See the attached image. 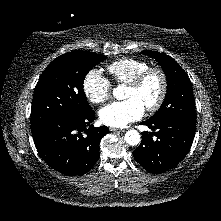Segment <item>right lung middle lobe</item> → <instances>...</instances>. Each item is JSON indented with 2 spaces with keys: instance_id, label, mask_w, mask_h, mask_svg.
<instances>
[{
  "instance_id": "right-lung-middle-lobe-1",
  "label": "right lung middle lobe",
  "mask_w": 221,
  "mask_h": 221,
  "mask_svg": "<svg viewBox=\"0 0 221 221\" xmlns=\"http://www.w3.org/2000/svg\"><path fill=\"white\" fill-rule=\"evenodd\" d=\"M106 57L85 51H72L57 57L42 73L34 90L31 132L66 116L88 113L83 83L87 73Z\"/></svg>"
}]
</instances>
